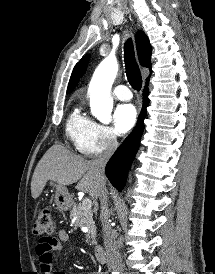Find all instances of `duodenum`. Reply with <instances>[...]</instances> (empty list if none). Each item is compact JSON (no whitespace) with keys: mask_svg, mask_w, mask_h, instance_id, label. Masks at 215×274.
<instances>
[{"mask_svg":"<svg viewBox=\"0 0 215 274\" xmlns=\"http://www.w3.org/2000/svg\"><path fill=\"white\" fill-rule=\"evenodd\" d=\"M95 256L100 263L106 262V251L101 245H96Z\"/></svg>","mask_w":215,"mask_h":274,"instance_id":"obj_1","label":"duodenum"}]
</instances>
